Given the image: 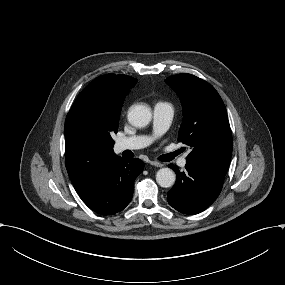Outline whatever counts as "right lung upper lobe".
I'll return each mask as SVG.
<instances>
[{
	"instance_id": "obj_1",
	"label": "right lung upper lobe",
	"mask_w": 285,
	"mask_h": 285,
	"mask_svg": "<svg viewBox=\"0 0 285 285\" xmlns=\"http://www.w3.org/2000/svg\"><path fill=\"white\" fill-rule=\"evenodd\" d=\"M136 82L127 75L99 76L80 93L70 112L85 126L119 120L123 100ZM113 145L102 140L80 142L65 138L66 168L77 193L118 159Z\"/></svg>"
}]
</instances>
